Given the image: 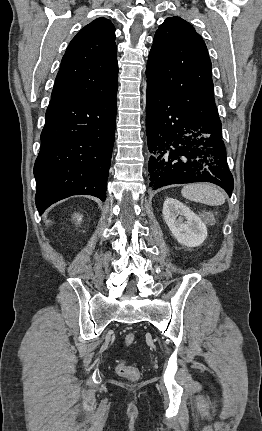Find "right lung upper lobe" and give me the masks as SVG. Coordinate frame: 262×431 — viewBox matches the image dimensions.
Listing matches in <instances>:
<instances>
[{"label": "right lung upper lobe", "mask_w": 262, "mask_h": 431, "mask_svg": "<svg viewBox=\"0 0 262 431\" xmlns=\"http://www.w3.org/2000/svg\"><path fill=\"white\" fill-rule=\"evenodd\" d=\"M114 25L98 18L70 42L61 61L51 100H99L117 92Z\"/></svg>", "instance_id": "1"}]
</instances>
